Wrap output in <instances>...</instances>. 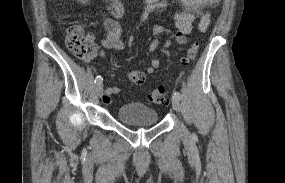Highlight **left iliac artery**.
Wrapping results in <instances>:
<instances>
[{
    "instance_id": "1",
    "label": "left iliac artery",
    "mask_w": 285,
    "mask_h": 183,
    "mask_svg": "<svg viewBox=\"0 0 285 183\" xmlns=\"http://www.w3.org/2000/svg\"><path fill=\"white\" fill-rule=\"evenodd\" d=\"M173 97L178 98L179 100L182 99V95H181V93L178 92V91H174V92H173Z\"/></svg>"
}]
</instances>
